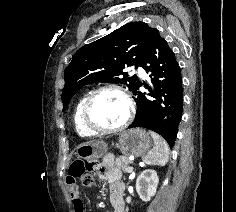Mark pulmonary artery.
<instances>
[{
	"mask_svg": "<svg viewBox=\"0 0 236 212\" xmlns=\"http://www.w3.org/2000/svg\"><path fill=\"white\" fill-rule=\"evenodd\" d=\"M137 72H138V74H139L141 77H143V78L146 77V73H145V71H144L142 68H138V69H137Z\"/></svg>",
	"mask_w": 236,
	"mask_h": 212,
	"instance_id": "pulmonary-artery-1",
	"label": "pulmonary artery"
}]
</instances>
